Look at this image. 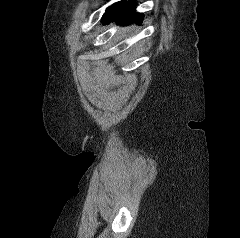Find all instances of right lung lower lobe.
Masks as SVG:
<instances>
[{
  "label": "right lung lower lobe",
  "instance_id": "right-lung-lower-lobe-1",
  "mask_svg": "<svg viewBox=\"0 0 240 238\" xmlns=\"http://www.w3.org/2000/svg\"><path fill=\"white\" fill-rule=\"evenodd\" d=\"M135 0L126 1L122 7L115 13L109 15L103 19L104 23H108L111 20L117 23L121 22L124 24L136 23L141 24L143 21V14L136 12Z\"/></svg>",
  "mask_w": 240,
  "mask_h": 238
}]
</instances>
